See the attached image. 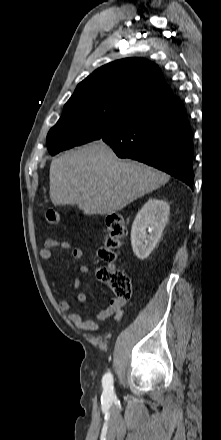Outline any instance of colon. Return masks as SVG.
Returning <instances> with one entry per match:
<instances>
[{"mask_svg":"<svg viewBox=\"0 0 221 440\" xmlns=\"http://www.w3.org/2000/svg\"><path fill=\"white\" fill-rule=\"evenodd\" d=\"M46 218L50 223L56 224L60 221L57 212L49 210ZM108 237L105 245L98 250L99 258L105 262L97 270L98 278L108 284L115 296L119 299H129L132 296V283L127 273L116 270L110 266L116 259V250L120 247L121 241L125 238L127 229L123 216L119 213H111L107 216Z\"/></svg>","mask_w":221,"mask_h":440,"instance_id":"5ec220e1","label":"colon"}]
</instances>
